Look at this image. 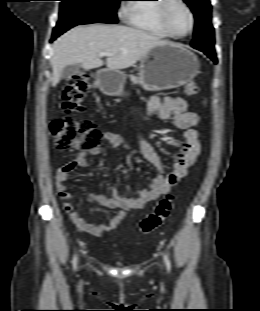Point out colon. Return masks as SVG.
<instances>
[{"label":"colon","mask_w":260,"mask_h":311,"mask_svg":"<svg viewBox=\"0 0 260 311\" xmlns=\"http://www.w3.org/2000/svg\"><path fill=\"white\" fill-rule=\"evenodd\" d=\"M89 87L87 72H79L71 76L62 93V111L66 117L55 120L51 124L53 147L56 150L75 149L84 157L102 142V132L88 119H74L73 114L81 113L84 109L83 97ZM185 93L194 96L198 93V86L189 82L185 86ZM175 203L173 194L165 195L155 206L153 211L140 222V233L149 235L160 227L170 216ZM106 231H100L104 235Z\"/></svg>","instance_id":"5ec220e1"}]
</instances>
